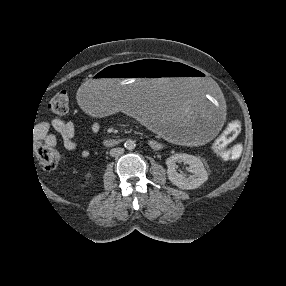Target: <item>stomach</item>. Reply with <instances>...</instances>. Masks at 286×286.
<instances>
[{
    "label": "stomach",
    "instance_id": "stomach-1",
    "mask_svg": "<svg viewBox=\"0 0 286 286\" xmlns=\"http://www.w3.org/2000/svg\"><path fill=\"white\" fill-rule=\"evenodd\" d=\"M78 98L95 117L131 109L179 144L207 140L225 119L224 96L208 76L161 57L109 64L81 87Z\"/></svg>",
    "mask_w": 286,
    "mask_h": 286
}]
</instances>
